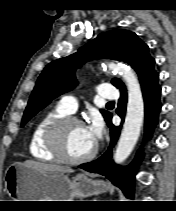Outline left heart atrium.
I'll list each match as a JSON object with an SVG mask.
<instances>
[{
    "label": "left heart atrium",
    "mask_w": 176,
    "mask_h": 211,
    "mask_svg": "<svg viewBox=\"0 0 176 211\" xmlns=\"http://www.w3.org/2000/svg\"><path fill=\"white\" fill-rule=\"evenodd\" d=\"M86 130L90 139L96 143L102 137L103 123L100 119L95 118L88 126H86Z\"/></svg>",
    "instance_id": "obj_1"
}]
</instances>
